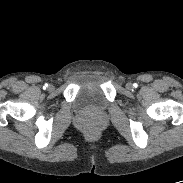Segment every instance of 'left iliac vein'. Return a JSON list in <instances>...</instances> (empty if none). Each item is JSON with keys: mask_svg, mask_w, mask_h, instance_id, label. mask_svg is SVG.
Here are the masks:
<instances>
[{"mask_svg": "<svg viewBox=\"0 0 183 183\" xmlns=\"http://www.w3.org/2000/svg\"><path fill=\"white\" fill-rule=\"evenodd\" d=\"M126 88H127L128 90H131V89L133 88V85H132L131 83H127V84H126Z\"/></svg>", "mask_w": 183, "mask_h": 183, "instance_id": "4c4485c4", "label": "left iliac vein"}]
</instances>
